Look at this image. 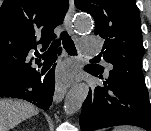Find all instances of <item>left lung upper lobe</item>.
Masks as SVG:
<instances>
[{
  "instance_id": "5c2ea615",
  "label": "left lung upper lobe",
  "mask_w": 151,
  "mask_h": 131,
  "mask_svg": "<svg viewBox=\"0 0 151 131\" xmlns=\"http://www.w3.org/2000/svg\"><path fill=\"white\" fill-rule=\"evenodd\" d=\"M75 5L94 18L95 35L105 39L103 58L113 65V69L142 68L145 49L135 0H75ZM89 66L97 72L104 71L100 65Z\"/></svg>"
}]
</instances>
